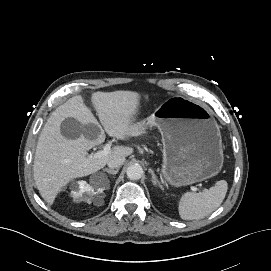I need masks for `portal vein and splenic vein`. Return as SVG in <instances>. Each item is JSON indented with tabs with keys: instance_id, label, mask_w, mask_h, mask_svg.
Masks as SVG:
<instances>
[{
	"instance_id": "obj_1",
	"label": "portal vein and splenic vein",
	"mask_w": 271,
	"mask_h": 271,
	"mask_svg": "<svg viewBox=\"0 0 271 271\" xmlns=\"http://www.w3.org/2000/svg\"><path fill=\"white\" fill-rule=\"evenodd\" d=\"M111 145H112L111 142L105 144L102 151H98V152L92 154L91 157L101 158V157H104V156L108 155L111 152ZM190 188H191L192 191H198L199 190L196 186H191ZM204 191H206V189Z\"/></svg>"
}]
</instances>
